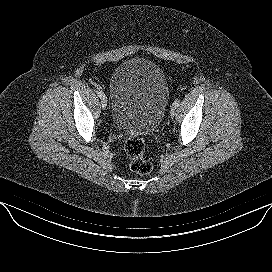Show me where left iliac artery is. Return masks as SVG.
I'll return each mask as SVG.
<instances>
[{"mask_svg": "<svg viewBox=\"0 0 272 272\" xmlns=\"http://www.w3.org/2000/svg\"><path fill=\"white\" fill-rule=\"evenodd\" d=\"M180 105V99H176L173 103V106L177 108Z\"/></svg>", "mask_w": 272, "mask_h": 272, "instance_id": "left-iliac-artery-1", "label": "left iliac artery"}]
</instances>
